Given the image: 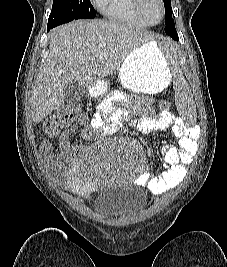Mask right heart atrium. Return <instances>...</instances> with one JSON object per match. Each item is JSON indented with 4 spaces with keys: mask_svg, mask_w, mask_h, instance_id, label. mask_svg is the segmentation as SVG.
Instances as JSON below:
<instances>
[{
    "mask_svg": "<svg viewBox=\"0 0 227 267\" xmlns=\"http://www.w3.org/2000/svg\"><path fill=\"white\" fill-rule=\"evenodd\" d=\"M95 3H96V5L100 2V0H93Z\"/></svg>",
    "mask_w": 227,
    "mask_h": 267,
    "instance_id": "1",
    "label": "right heart atrium"
}]
</instances>
